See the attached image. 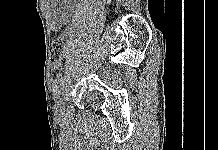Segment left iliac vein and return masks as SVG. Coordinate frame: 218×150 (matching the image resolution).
<instances>
[{"mask_svg":"<svg viewBox=\"0 0 218 150\" xmlns=\"http://www.w3.org/2000/svg\"><path fill=\"white\" fill-rule=\"evenodd\" d=\"M67 91V90H66ZM54 112L56 115H61L64 112L62 98L57 97L54 103Z\"/></svg>","mask_w":218,"mask_h":150,"instance_id":"obj_1","label":"left iliac vein"}]
</instances>
